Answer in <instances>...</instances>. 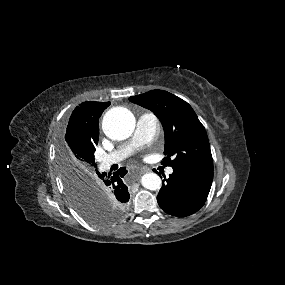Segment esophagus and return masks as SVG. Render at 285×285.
Listing matches in <instances>:
<instances>
[{
	"label": "esophagus",
	"mask_w": 285,
	"mask_h": 285,
	"mask_svg": "<svg viewBox=\"0 0 285 285\" xmlns=\"http://www.w3.org/2000/svg\"><path fill=\"white\" fill-rule=\"evenodd\" d=\"M151 169L149 167H142L141 168V173H147V172H150Z\"/></svg>",
	"instance_id": "esophagus-1"
}]
</instances>
